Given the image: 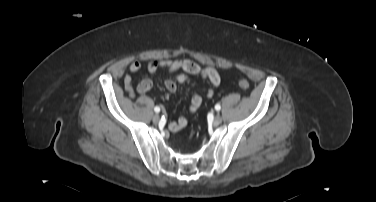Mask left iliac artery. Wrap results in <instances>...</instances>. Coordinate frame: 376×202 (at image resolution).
Wrapping results in <instances>:
<instances>
[{"label": "left iliac artery", "instance_id": "left-iliac-artery-1", "mask_svg": "<svg viewBox=\"0 0 376 202\" xmlns=\"http://www.w3.org/2000/svg\"><path fill=\"white\" fill-rule=\"evenodd\" d=\"M215 109H216L217 111H219V110L221 109V106H220L219 104H216V105H215Z\"/></svg>", "mask_w": 376, "mask_h": 202}]
</instances>
